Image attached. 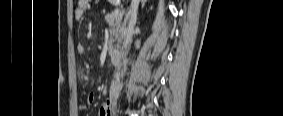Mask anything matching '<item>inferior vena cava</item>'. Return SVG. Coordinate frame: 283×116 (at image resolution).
<instances>
[{
  "instance_id": "obj_1",
  "label": "inferior vena cava",
  "mask_w": 283,
  "mask_h": 116,
  "mask_svg": "<svg viewBox=\"0 0 283 116\" xmlns=\"http://www.w3.org/2000/svg\"><path fill=\"white\" fill-rule=\"evenodd\" d=\"M140 0H132L131 3V8H130V16H129V24H128V29L125 34L124 38V48H125V56L128 53V50L130 48V44L132 42V37H133V32H134V26L136 23V18H137V10H138V5H139ZM127 59L125 58L123 60V65L124 69L121 72V76L123 77V74L125 72V67H126Z\"/></svg>"
}]
</instances>
